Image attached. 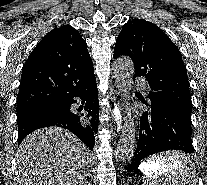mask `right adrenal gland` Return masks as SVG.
<instances>
[{
  "label": "right adrenal gland",
  "instance_id": "1",
  "mask_svg": "<svg viewBox=\"0 0 207 185\" xmlns=\"http://www.w3.org/2000/svg\"><path fill=\"white\" fill-rule=\"evenodd\" d=\"M83 185H90V181H87V179H85V181H83Z\"/></svg>",
  "mask_w": 207,
  "mask_h": 185
}]
</instances>
